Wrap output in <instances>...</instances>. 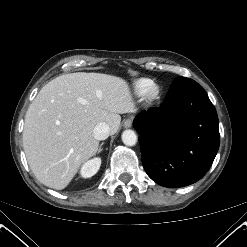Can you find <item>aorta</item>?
I'll use <instances>...</instances> for the list:
<instances>
[{
  "label": "aorta",
  "instance_id": "aorta-1",
  "mask_svg": "<svg viewBox=\"0 0 247 247\" xmlns=\"http://www.w3.org/2000/svg\"><path fill=\"white\" fill-rule=\"evenodd\" d=\"M122 141L127 146H134L137 143V135L133 130H125L122 133Z\"/></svg>",
  "mask_w": 247,
  "mask_h": 247
}]
</instances>
